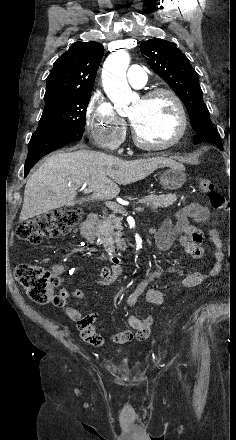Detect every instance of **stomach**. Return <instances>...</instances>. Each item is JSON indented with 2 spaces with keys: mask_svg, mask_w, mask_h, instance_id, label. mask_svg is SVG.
Listing matches in <instances>:
<instances>
[{
  "mask_svg": "<svg viewBox=\"0 0 236 440\" xmlns=\"http://www.w3.org/2000/svg\"><path fill=\"white\" fill-rule=\"evenodd\" d=\"M167 169L160 175V184L170 190L182 187L186 181L185 168L176 162L166 166Z\"/></svg>",
  "mask_w": 236,
  "mask_h": 440,
  "instance_id": "stomach-1",
  "label": "stomach"
}]
</instances>
